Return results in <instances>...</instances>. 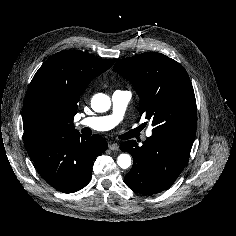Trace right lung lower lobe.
<instances>
[{"label": "right lung lower lobe", "mask_w": 236, "mask_h": 236, "mask_svg": "<svg viewBox=\"0 0 236 236\" xmlns=\"http://www.w3.org/2000/svg\"><path fill=\"white\" fill-rule=\"evenodd\" d=\"M107 149L100 135L70 132L27 150L45 181L55 189L72 193L85 187L92 176L95 158Z\"/></svg>", "instance_id": "1"}]
</instances>
